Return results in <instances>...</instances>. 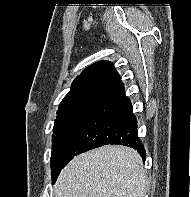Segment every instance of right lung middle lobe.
<instances>
[{
  "label": "right lung middle lobe",
  "mask_w": 191,
  "mask_h": 197,
  "mask_svg": "<svg viewBox=\"0 0 191 197\" xmlns=\"http://www.w3.org/2000/svg\"><path fill=\"white\" fill-rule=\"evenodd\" d=\"M91 110L92 107H88L58 113L52 136L51 171L53 183L63 168L76 136Z\"/></svg>",
  "instance_id": "obj_1"
}]
</instances>
